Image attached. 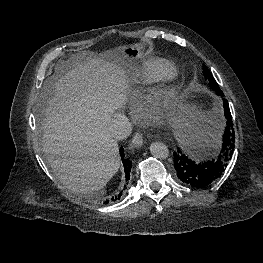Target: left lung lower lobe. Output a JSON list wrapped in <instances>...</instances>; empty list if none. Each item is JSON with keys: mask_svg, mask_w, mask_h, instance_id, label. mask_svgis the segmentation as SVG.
<instances>
[{"mask_svg": "<svg viewBox=\"0 0 263 263\" xmlns=\"http://www.w3.org/2000/svg\"><path fill=\"white\" fill-rule=\"evenodd\" d=\"M217 94L224 96L223 92ZM223 106L227 124L220 153L213 159L205 161L194 159L183 147H177L173 154L174 167L178 178L194 188H204L217 181L225 171L234 152L235 133L229 104L226 99H223ZM178 146H181L180 143H178Z\"/></svg>", "mask_w": 263, "mask_h": 263, "instance_id": "left-lung-lower-lobe-1", "label": "left lung lower lobe"}]
</instances>
